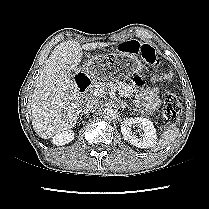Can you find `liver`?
<instances>
[{
	"label": "liver",
	"instance_id": "1",
	"mask_svg": "<svg viewBox=\"0 0 209 209\" xmlns=\"http://www.w3.org/2000/svg\"><path fill=\"white\" fill-rule=\"evenodd\" d=\"M111 44L114 43L81 46L76 41H65L55 47L45 62L31 99L33 129L41 138H52L76 125L82 100L72 74L79 70L82 49L95 50Z\"/></svg>",
	"mask_w": 209,
	"mask_h": 209
}]
</instances>
